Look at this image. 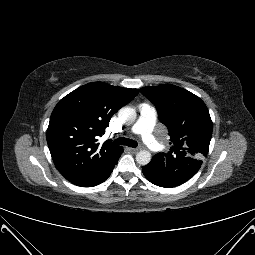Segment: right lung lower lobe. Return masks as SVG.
I'll list each match as a JSON object with an SVG mask.
<instances>
[{
	"label": "right lung lower lobe",
	"mask_w": 255,
	"mask_h": 255,
	"mask_svg": "<svg viewBox=\"0 0 255 255\" xmlns=\"http://www.w3.org/2000/svg\"><path fill=\"white\" fill-rule=\"evenodd\" d=\"M122 152H123V149H122ZM121 152V153H122ZM120 153V155H121ZM120 157V156H119ZM119 159V158H118ZM118 159L114 162V164L109 167L105 172H103L100 176H98L96 179L88 182V183H85V184H82V185H79V186H82V187H92V186H96L100 183H102L103 181H105L111 174V172L113 171V168L114 166L117 164L118 162Z\"/></svg>",
	"instance_id": "1"
}]
</instances>
